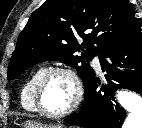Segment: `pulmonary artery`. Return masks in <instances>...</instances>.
I'll list each match as a JSON object with an SVG mask.
<instances>
[{"mask_svg": "<svg viewBox=\"0 0 142 128\" xmlns=\"http://www.w3.org/2000/svg\"><path fill=\"white\" fill-rule=\"evenodd\" d=\"M92 64L94 66V68L100 72L101 71V66H100V61H99V58L97 56H95L92 60Z\"/></svg>", "mask_w": 142, "mask_h": 128, "instance_id": "e3ab8cb5", "label": "pulmonary artery"}]
</instances>
